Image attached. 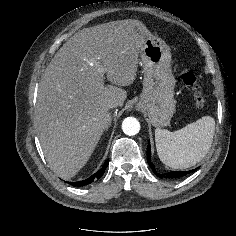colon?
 Masks as SVG:
<instances>
[{"label": "colon", "instance_id": "1", "mask_svg": "<svg viewBox=\"0 0 236 236\" xmlns=\"http://www.w3.org/2000/svg\"><path fill=\"white\" fill-rule=\"evenodd\" d=\"M181 78L182 82L193 91L196 106L202 107L205 103V97L201 91L197 75L190 70H184Z\"/></svg>", "mask_w": 236, "mask_h": 236}]
</instances>
